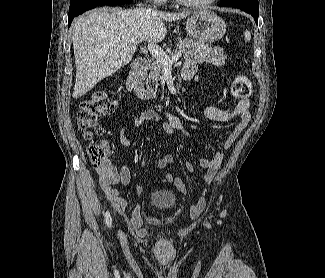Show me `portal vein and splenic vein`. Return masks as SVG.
<instances>
[{
  "mask_svg": "<svg viewBox=\"0 0 325 278\" xmlns=\"http://www.w3.org/2000/svg\"><path fill=\"white\" fill-rule=\"evenodd\" d=\"M147 49L156 61L160 62L164 67H171L172 64L181 57L179 53L169 57L165 51L154 43H148Z\"/></svg>",
  "mask_w": 325,
  "mask_h": 278,
  "instance_id": "1",
  "label": "portal vein and splenic vein"
}]
</instances>
